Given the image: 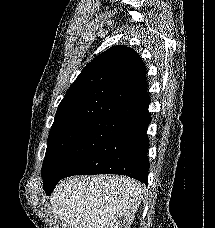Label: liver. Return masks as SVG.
<instances>
[{"mask_svg": "<svg viewBox=\"0 0 215 228\" xmlns=\"http://www.w3.org/2000/svg\"><path fill=\"white\" fill-rule=\"evenodd\" d=\"M144 190L127 176H71L53 190L51 210L63 228H131Z\"/></svg>", "mask_w": 215, "mask_h": 228, "instance_id": "liver-1", "label": "liver"}]
</instances>
